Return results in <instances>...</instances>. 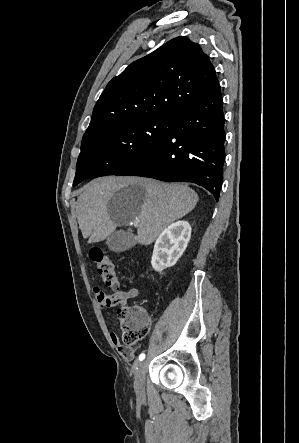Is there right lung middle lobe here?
<instances>
[{
    "label": "right lung middle lobe",
    "mask_w": 299,
    "mask_h": 443,
    "mask_svg": "<svg viewBox=\"0 0 299 443\" xmlns=\"http://www.w3.org/2000/svg\"><path fill=\"white\" fill-rule=\"evenodd\" d=\"M171 132L169 116L135 119L83 138L73 186L82 180L115 175L134 164Z\"/></svg>",
    "instance_id": "right-lung-middle-lobe-1"
}]
</instances>
